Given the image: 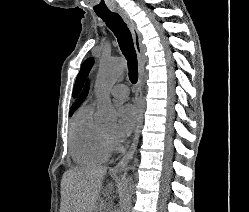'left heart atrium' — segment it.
<instances>
[{"label": "left heart atrium", "instance_id": "39dd6f15", "mask_svg": "<svg viewBox=\"0 0 249 212\" xmlns=\"http://www.w3.org/2000/svg\"><path fill=\"white\" fill-rule=\"evenodd\" d=\"M137 118V111L133 105L126 104L118 109L117 120L111 137L116 147H120L130 136Z\"/></svg>", "mask_w": 249, "mask_h": 212}]
</instances>
